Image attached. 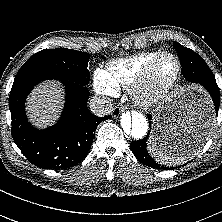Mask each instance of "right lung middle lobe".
I'll list each match as a JSON object with an SVG mask.
<instances>
[{
  "label": "right lung middle lobe",
  "instance_id": "obj_1",
  "mask_svg": "<svg viewBox=\"0 0 222 222\" xmlns=\"http://www.w3.org/2000/svg\"><path fill=\"white\" fill-rule=\"evenodd\" d=\"M89 58L88 53L72 49H44L31 56L18 74L41 72L69 82L87 85L90 80L87 69Z\"/></svg>",
  "mask_w": 222,
  "mask_h": 222
}]
</instances>
